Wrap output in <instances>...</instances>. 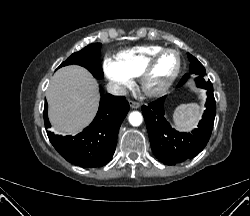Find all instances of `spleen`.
I'll list each match as a JSON object with an SVG mask.
<instances>
[{
    "instance_id": "1",
    "label": "spleen",
    "mask_w": 250,
    "mask_h": 216,
    "mask_svg": "<svg viewBox=\"0 0 250 216\" xmlns=\"http://www.w3.org/2000/svg\"><path fill=\"white\" fill-rule=\"evenodd\" d=\"M201 107L198 104L180 105L173 114V121L178 129H190L200 118Z\"/></svg>"
}]
</instances>
